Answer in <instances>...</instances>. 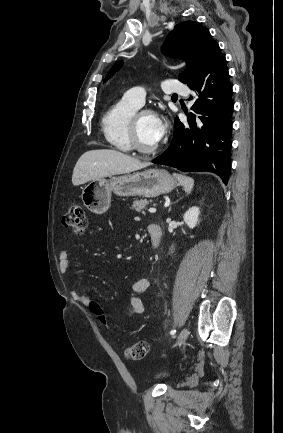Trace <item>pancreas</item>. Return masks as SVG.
Masks as SVG:
<instances>
[{
  "mask_svg": "<svg viewBox=\"0 0 283 433\" xmlns=\"http://www.w3.org/2000/svg\"><path fill=\"white\" fill-rule=\"evenodd\" d=\"M152 200H147V198H140V200H134L131 208H135L137 212H144V208H147V204H150Z\"/></svg>",
  "mask_w": 283,
  "mask_h": 433,
  "instance_id": "obj_1",
  "label": "pancreas"
}]
</instances>
